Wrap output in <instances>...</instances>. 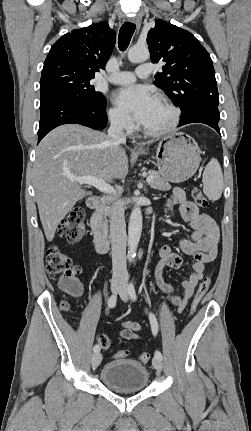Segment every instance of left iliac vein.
<instances>
[{"instance_id":"obj_1","label":"left iliac vein","mask_w":251,"mask_h":431,"mask_svg":"<svg viewBox=\"0 0 251 431\" xmlns=\"http://www.w3.org/2000/svg\"><path fill=\"white\" fill-rule=\"evenodd\" d=\"M119 295H120V297H121V299L123 300V301H128V297H129V295H128V289H127V287L125 286V285H123L122 287H121V289H120V291H119ZM152 364H153V367L157 370V371H162V368H163V364H162V361H161V359H159V358H157V357H154L153 358V360H152Z\"/></svg>"}]
</instances>
